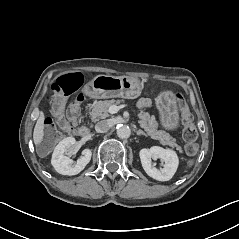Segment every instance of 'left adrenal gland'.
<instances>
[{
  "mask_svg": "<svg viewBox=\"0 0 239 239\" xmlns=\"http://www.w3.org/2000/svg\"><path fill=\"white\" fill-rule=\"evenodd\" d=\"M134 131H136V134H137V135H144V136H146V137L148 136V135H147L145 132H143L141 129H139V130H135V129H134Z\"/></svg>",
  "mask_w": 239,
  "mask_h": 239,
  "instance_id": "a2214340",
  "label": "left adrenal gland"
}]
</instances>
